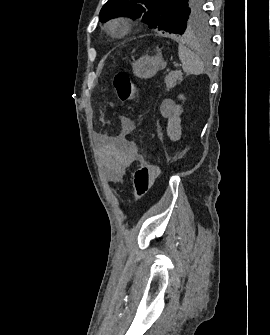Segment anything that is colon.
Listing matches in <instances>:
<instances>
[{"label": "colon", "instance_id": "colon-1", "mask_svg": "<svg viewBox=\"0 0 270 335\" xmlns=\"http://www.w3.org/2000/svg\"><path fill=\"white\" fill-rule=\"evenodd\" d=\"M113 85L121 101H130L137 92V87L127 71H119L114 75ZM157 169L150 163L144 162L133 172L132 181L137 198L144 197L154 185Z\"/></svg>", "mask_w": 270, "mask_h": 335}]
</instances>
